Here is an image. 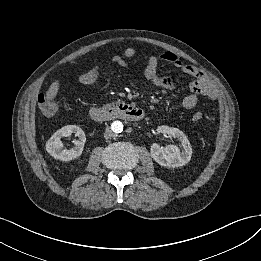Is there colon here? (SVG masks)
Wrapping results in <instances>:
<instances>
[{"label":"colon","instance_id":"1","mask_svg":"<svg viewBox=\"0 0 261 261\" xmlns=\"http://www.w3.org/2000/svg\"><path fill=\"white\" fill-rule=\"evenodd\" d=\"M211 87V82L209 77L203 72L200 71L196 77L190 83V90L193 93H203ZM38 104L41 110L46 115H54L56 112V104L54 101L47 98L46 95L41 94L38 96ZM194 120L199 121L203 118L202 113L197 112L194 114Z\"/></svg>","mask_w":261,"mask_h":261}]
</instances>
